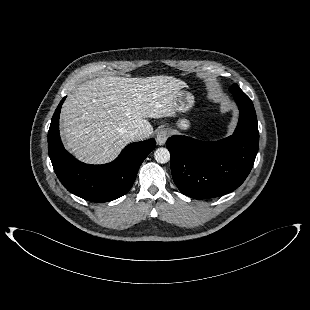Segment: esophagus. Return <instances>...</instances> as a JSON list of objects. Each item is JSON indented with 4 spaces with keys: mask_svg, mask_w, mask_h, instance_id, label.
<instances>
[{
    "mask_svg": "<svg viewBox=\"0 0 310 310\" xmlns=\"http://www.w3.org/2000/svg\"><path fill=\"white\" fill-rule=\"evenodd\" d=\"M169 137V132L167 129H160L156 134V142L158 145H164L167 138Z\"/></svg>",
    "mask_w": 310,
    "mask_h": 310,
    "instance_id": "1",
    "label": "esophagus"
}]
</instances>
